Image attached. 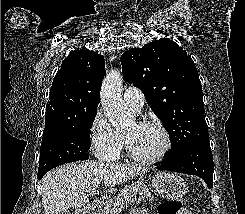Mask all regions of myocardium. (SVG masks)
I'll return each mask as SVG.
<instances>
[{
  "instance_id": "f54148a6",
  "label": "myocardium",
  "mask_w": 245,
  "mask_h": 214,
  "mask_svg": "<svg viewBox=\"0 0 245 214\" xmlns=\"http://www.w3.org/2000/svg\"><path fill=\"white\" fill-rule=\"evenodd\" d=\"M136 124H138L140 126H148V127L157 128L162 133V135L164 137V144H163L162 149L156 155L150 156V157H144V156H140V155L136 154L130 148L126 138L123 137L126 152H127L128 156L131 159H133L137 162L143 163V164H153V163H156V162L160 161L161 159H163L165 157V155L169 152L171 145H172L171 136H170V133L167 130V128L162 123H160L158 121H153V120H141V121H137Z\"/></svg>"
}]
</instances>
